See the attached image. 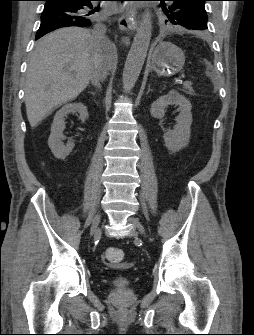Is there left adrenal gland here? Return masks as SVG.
Wrapping results in <instances>:
<instances>
[{
    "mask_svg": "<svg viewBox=\"0 0 254 335\" xmlns=\"http://www.w3.org/2000/svg\"><path fill=\"white\" fill-rule=\"evenodd\" d=\"M152 91L151 88H150V84L148 85V90H147V94Z\"/></svg>",
    "mask_w": 254,
    "mask_h": 335,
    "instance_id": "1",
    "label": "left adrenal gland"
}]
</instances>
